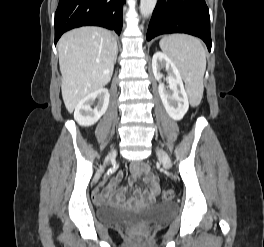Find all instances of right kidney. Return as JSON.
I'll use <instances>...</instances> for the list:
<instances>
[{
	"mask_svg": "<svg viewBox=\"0 0 264 247\" xmlns=\"http://www.w3.org/2000/svg\"><path fill=\"white\" fill-rule=\"evenodd\" d=\"M109 98L110 94L106 88H101L88 94L75 107L74 119L81 126L87 127L95 124L105 114L109 105ZM96 99L98 104L92 109L91 106Z\"/></svg>",
	"mask_w": 264,
	"mask_h": 247,
	"instance_id": "right-kidney-1",
	"label": "right kidney"
}]
</instances>
